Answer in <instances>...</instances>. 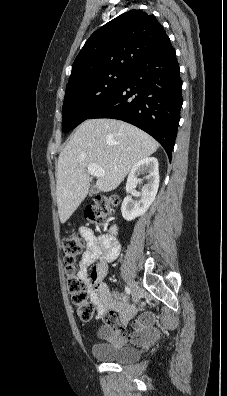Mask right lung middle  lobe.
<instances>
[{
    "label": "right lung middle lobe",
    "mask_w": 227,
    "mask_h": 396,
    "mask_svg": "<svg viewBox=\"0 0 227 396\" xmlns=\"http://www.w3.org/2000/svg\"><path fill=\"white\" fill-rule=\"evenodd\" d=\"M130 71L114 70L90 77L66 88L63 132H69L109 100L126 82Z\"/></svg>",
    "instance_id": "right-lung-middle-lobe-1"
}]
</instances>
